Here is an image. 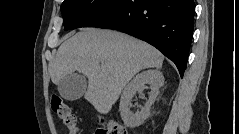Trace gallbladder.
Wrapping results in <instances>:
<instances>
[{
    "label": "gallbladder",
    "mask_w": 239,
    "mask_h": 134,
    "mask_svg": "<svg viewBox=\"0 0 239 134\" xmlns=\"http://www.w3.org/2000/svg\"><path fill=\"white\" fill-rule=\"evenodd\" d=\"M87 88V82L84 76L71 73L61 79L58 84L60 95L69 101H74L83 96Z\"/></svg>",
    "instance_id": "bac80fb5"
}]
</instances>
